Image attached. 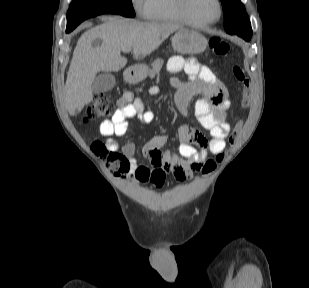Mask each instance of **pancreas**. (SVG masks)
<instances>
[{"mask_svg":"<svg viewBox=\"0 0 309 288\" xmlns=\"http://www.w3.org/2000/svg\"><path fill=\"white\" fill-rule=\"evenodd\" d=\"M162 65H163V60H162V59H159V58H158V59H156V60L153 61V63L151 64L152 69H151V71L149 72V77H150L151 79H153V78L155 77V75H156L157 73H159V71H160Z\"/></svg>","mask_w":309,"mask_h":288,"instance_id":"obj_1","label":"pancreas"}]
</instances>
